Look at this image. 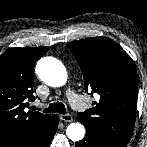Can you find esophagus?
Instances as JSON below:
<instances>
[{
	"label": "esophagus",
	"instance_id": "obj_1",
	"mask_svg": "<svg viewBox=\"0 0 147 147\" xmlns=\"http://www.w3.org/2000/svg\"><path fill=\"white\" fill-rule=\"evenodd\" d=\"M60 119L64 122H72L73 121V117L71 114H62V115H60Z\"/></svg>",
	"mask_w": 147,
	"mask_h": 147
}]
</instances>
